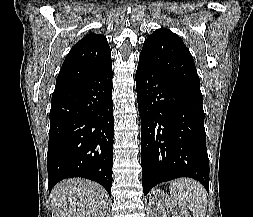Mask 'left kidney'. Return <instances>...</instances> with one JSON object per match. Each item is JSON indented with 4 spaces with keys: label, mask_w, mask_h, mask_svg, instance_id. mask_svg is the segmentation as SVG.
I'll use <instances>...</instances> for the list:
<instances>
[{
    "label": "left kidney",
    "mask_w": 253,
    "mask_h": 217,
    "mask_svg": "<svg viewBox=\"0 0 253 217\" xmlns=\"http://www.w3.org/2000/svg\"><path fill=\"white\" fill-rule=\"evenodd\" d=\"M153 195L151 203L153 205L154 217H168L167 213H171L172 217H191L185 206L177 204L161 190H156ZM165 207L167 208V212Z\"/></svg>",
    "instance_id": "left-kidney-1"
}]
</instances>
